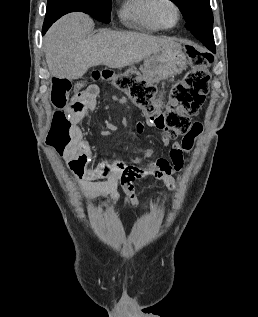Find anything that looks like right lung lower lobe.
<instances>
[{
	"instance_id": "1",
	"label": "right lung lower lobe",
	"mask_w": 258,
	"mask_h": 317,
	"mask_svg": "<svg viewBox=\"0 0 258 317\" xmlns=\"http://www.w3.org/2000/svg\"><path fill=\"white\" fill-rule=\"evenodd\" d=\"M80 11L95 18L94 9L85 0H48L42 35L61 16L69 12Z\"/></svg>"
}]
</instances>
